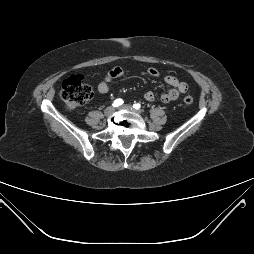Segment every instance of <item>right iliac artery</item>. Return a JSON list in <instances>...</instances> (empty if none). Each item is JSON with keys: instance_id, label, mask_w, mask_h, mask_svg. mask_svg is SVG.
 <instances>
[{"instance_id": "right-iliac-artery-1", "label": "right iliac artery", "mask_w": 254, "mask_h": 254, "mask_svg": "<svg viewBox=\"0 0 254 254\" xmlns=\"http://www.w3.org/2000/svg\"><path fill=\"white\" fill-rule=\"evenodd\" d=\"M123 103H124V102H123L122 99H116V100L113 102L112 105H113L114 107H119V106H121Z\"/></svg>"}]
</instances>
